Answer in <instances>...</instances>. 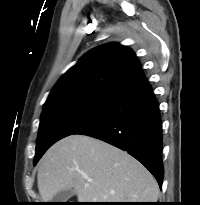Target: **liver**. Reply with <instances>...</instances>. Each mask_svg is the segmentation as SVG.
<instances>
[{
	"label": "liver",
	"mask_w": 200,
	"mask_h": 205,
	"mask_svg": "<svg viewBox=\"0 0 200 205\" xmlns=\"http://www.w3.org/2000/svg\"><path fill=\"white\" fill-rule=\"evenodd\" d=\"M37 184L43 202L68 189L78 202H156L159 196L157 181L141 163L85 135H70L47 150L38 164Z\"/></svg>",
	"instance_id": "obj_1"
}]
</instances>
